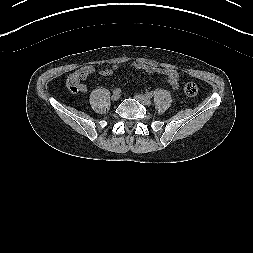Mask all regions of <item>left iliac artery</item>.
Returning <instances> with one entry per match:
<instances>
[{"label": "left iliac artery", "instance_id": "1", "mask_svg": "<svg viewBox=\"0 0 253 253\" xmlns=\"http://www.w3.org/2000/svg\"><path fill=\"white\" fill-rule=\"evenodd\" d=\"M146 95H147V97H149V98H152V96H153L151 92H147Z\"/></svg>", "mask_w": 253, "mask_h": 253}]
</instances>
